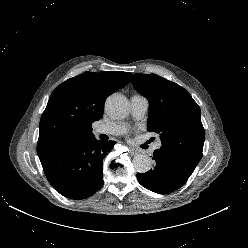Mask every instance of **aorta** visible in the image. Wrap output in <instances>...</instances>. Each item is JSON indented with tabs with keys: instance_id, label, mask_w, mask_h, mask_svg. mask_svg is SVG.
I'll use <instances>...</instances> for the list:
<instances>
[{
	"instance_id": "762f6f07",
	"label": "aorta",
	"mask_w": 248,
	"mask_h": 248,
	"mask_svg": "<svg viewBox=\"0 0 248 248\" xmlns=\"http://www.w3.org/2000/svg\"><path fill=\"white\" fill-rule=\"evenodd\" d=\"M105 109L111 118L123 119L129 114V102L122 95H111L106 100ZM133 165L137 172L146 173L152 167V159L146 154H138Z\"/></svg>"
}]
</instances>
